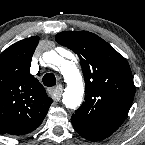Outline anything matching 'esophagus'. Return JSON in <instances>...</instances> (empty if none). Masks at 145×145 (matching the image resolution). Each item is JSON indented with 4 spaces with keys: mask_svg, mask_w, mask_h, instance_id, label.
<instances>
[{
    "mask_svg": "<svg viewBox=\"0 0 145 145\" xmlns=\"http://www.w3.org/2000/svg\"><path fill=\"white\" fill-rule=\"evenodd\" d=\"M49 94L55 101H59L62 96L63 88L61 86H57L56 88H50L48 89Z\"/></svg>",
    "mask_w": 145,
    "mask_h": 145,
    "instance_id": "1",
    "label": "esophagus"
}]
</instances>
